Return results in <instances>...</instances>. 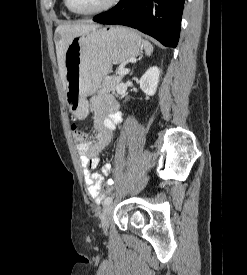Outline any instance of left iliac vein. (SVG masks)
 Returning <instances> with one entry per match:
<instances>
[{
  "label": "left iliac vein",
  "mask_w": 247,
  "mask_h": 275,
  "mask_svg": "<svg viewBox=\"0 0 247 275\" xmlns=\"http://www.w3.org/2000/svg\"><path fill=\"white\" fill-rule=\"evenodd\" d=\"M147 181V178H145L142 183H141V186H143ZM113 205L110 203L108 205H106L102 211V214H101V225H102V229L104 232H107L108 231V228H109V224H110V221H111V218H112V214H113Z\"/></svg>",
  "instance_id": "1"
}]
</instances>
